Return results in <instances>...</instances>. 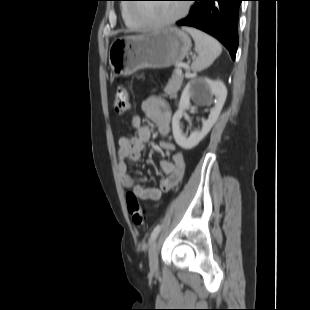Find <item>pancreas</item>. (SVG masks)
Returning <instances> with one entry per match:
<instances>
[{"instance_id": "pancreas-1", "label": "pancreas", "mask_w": 310, "mask_h": 310, "mask_svg": "<svg viewBox=\"0 0 310 310\" xmlns=\"http://www.w3.org/2000/svg\"><path fill=\"white\" fill-rule=\"evenodd\" d=\"M183 79V75H178L177 73H174L164 89L165 94L168 95L170 98H175L177 92L182 85Z\"/></svg>"}]
</instances>
